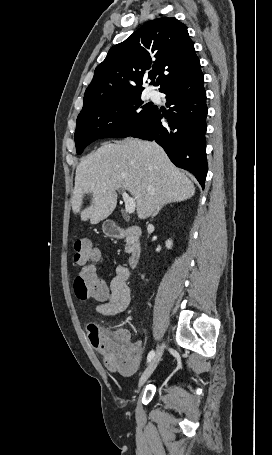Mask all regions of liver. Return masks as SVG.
<instances>
[{"label":"liver","instance_id":"6515ba94","mask_svg":"<svg viewBox=\"0 0 272 455\" xmlns=\"http://www.w3.org/2000/svg\"><path fill=\"white\" fill-rule=\"evenodd\" d=\"M127 190L136 201L139 219L150 217L165 203L190 199L195 187L155 142L126 139L105 143L77 166L72 210L81 220L98 223L117 204V190ZM92 203L81 211L83 197Z\"/></svg>","mask_w":272,"mask_h":455}]
</instances>
